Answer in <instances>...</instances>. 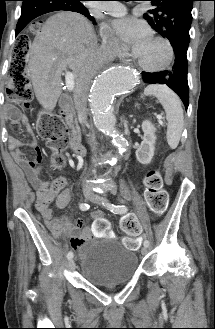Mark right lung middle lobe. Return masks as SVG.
I'll return each mask as SVG.
<instances>
[{
	"label": "right lung middle lobe",
	"mask_w": 215,
	"mask_h": 329,
	"mask_svg": "<svg viewBox=\"0 0 215 329\" xmlns=\"http://www.w3.org/2000/svg\"><path fill=\"white\" fill-rule=\"evenodd\" d=\"M70 1L75 2V4L78 5L79 7H84V5L81 2L83 0H70Z\"/></svg>",
	"instance_id": "dd1d6c3e"
}]
</instances>
